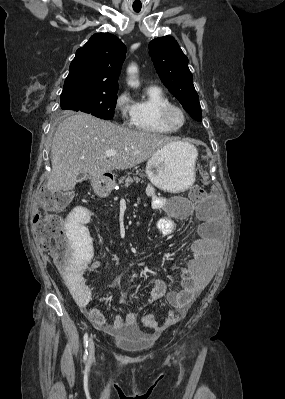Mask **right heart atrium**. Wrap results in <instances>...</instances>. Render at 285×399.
I'll return each mask as SVG.
<instances>
[{
  "label": "right heart atrium",
  "mask_w": 285,
  "mask_h": 399,
  "mask_svg": "<svg viewBox=\"0 0 285 399\" xmlns=\"http://www.w3.org/2000/svg\"><path fill=\"white\" fill-rule=\"evenodd\" d=\"M114 106L124 125L131 126L134 124V102L127 91L121 92L116 97Z\"/></svg>",
  "instance_id": "1"
}]
</instances>
